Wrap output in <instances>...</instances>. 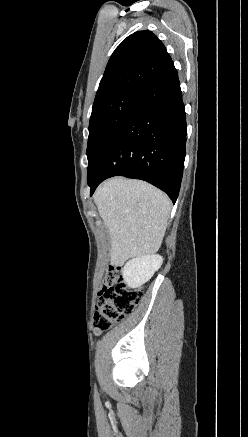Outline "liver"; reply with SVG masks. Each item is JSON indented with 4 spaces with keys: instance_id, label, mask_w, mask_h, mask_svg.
Returning <instances> with one entry per match:
<instances>
[{
    "instance_id": "6515ba94",
    "label": "liver",
    "mask_w": 248,
    "mask_h": 437,
    "mask_svg": "<svg viewBox=\"0 0 248 437\" xmlns=\"http://www.w3.org/2000/svg\"><path fill=\"white\" fill-rule=\"evenodd\" d=\"M94 201L111 239L110 260L153 255L162 244L171 202L158 188L116 177L101 184Z\"/></svg>"
}]
</instances>
